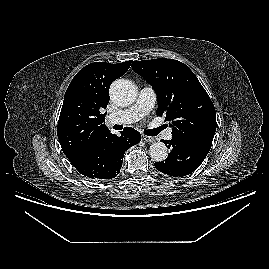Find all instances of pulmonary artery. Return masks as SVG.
Returning <instances> with one entry per match:
<instances>
[{"label": "pulmonary artery", "mask_w": 269, "mask_h": 269, "mask_svg": "<svg viewBox=\"0 0 269 269\" xmlns=\"http://www.w3.org/2000/svg\"><path fill=\"white\" fill-rule=\"evenodd\" d=\"M155 101L156 94L154 90L151 87H144L141 89L137 101L133 106L118 113L110 114L107 117V123L110 125H126L134 123L149 114L155 104ZM164 138L167 140L172 138L171 129H168L164 133Z\"/></svg>", "instance_id": "pulmonary-artery-1"}]
</instances>
